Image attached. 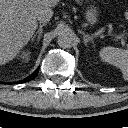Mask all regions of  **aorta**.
Returning a JSON list of instances; mask_svg holds the SVG:
<instances>
[{"label":"aorta","instance_id":"obj_1","mask_svg":"<svg viewBox=\"0 0 128 128\" xmlns=\"http://www.w3.org/2000/svg\"><path fill=\"white\" fill-rule=\"evenodd\" d=\"M57 42L63 49L70 48L74 42V35L68 30H64L59 34Z\"/></svg>","mask_w":128,"mask_h":128}]
</instances>
